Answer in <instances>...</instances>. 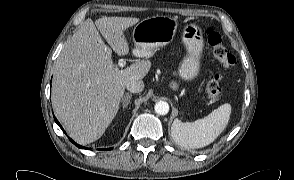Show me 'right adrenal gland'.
I'll return each instance as SVG.
<instances>
[{"label":"right adrenal gland","instance_id":"obj_1","mask_svg":"<svg viewBox=\"0 0 294 180\" xmlns=\"http://www.w3.org/2000/svg\"><path fill=\"white\" fill-rule=\"evenodd\" d=\"M131 98H132V94L125 93L124 97L122 98L123 109L126 108L130 104Z\"/></svg>","mask_w":294,"mask_h":180}]
</instances>
